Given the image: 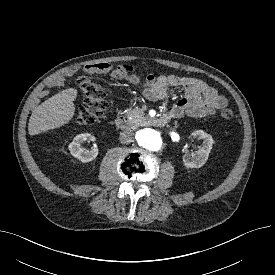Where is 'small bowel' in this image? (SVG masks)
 Masks as SVG:
<instances>
[{"mask_svg":"<svg viewBox=\"0 0 275 275\" xmlns=\"http://www.w3.org/2000/svg\"><path fill=\"white\" fill-rule=\"evenodd\" d=\"M122 66L121 70H116L111 64L99 63L87 65L82 70L89 74L113 72L118 79H126L133 84L141 83L140 77L134 73L131 67ZM69 76L70 73L67 72L65 75L56 78L53 85L63 86ZM142 84L145 97L151 101L165 100L167 90L170 87L183 90L184 96L169 109L168 115L170 118H180L184 114L191 117H207L227 106V100L223 95L199 79L177 75H161L158 77L148 75Z\"/></svg>","mask_w":275,"mask_h":275,"instance_id":"obj_1","label":"small bowel"}]
</instances>
